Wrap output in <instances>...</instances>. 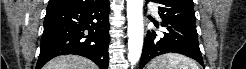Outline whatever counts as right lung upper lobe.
<instances>
[{"label":"right lung upper lobe","mask_w":246,"mask_h":69,"mask_svg":"<svg viewBox=\"0 0 246 69\" xmlns=\"http://www.w3.org/2000/svg\"><path fill=\"white\" fill-rule=\"evenodd\" d=\"M104 0H50L47 8L55 6H87L101 3Z\"/></svg>","instance_id":"obj_1"}]
</instances>
